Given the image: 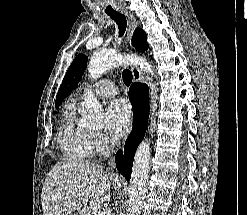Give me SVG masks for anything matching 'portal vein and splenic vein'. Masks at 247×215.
<instances>
[{
  "mask_svg": "<svg viewBox=\"0 0 247 215\" xmlns=\"http://www.w3.org/2000/svg\"><path fill=\"white\" fill-rule=\"evenodd\" d=\"M95 215H109V210L102 208V209H98L95 213Z\"/></svg>",
  "mask_w": 247,
  "mask_h": 215,
  "instance_id": "1",
  "label": "portal vein and splenic vein"
}]
</instances>
